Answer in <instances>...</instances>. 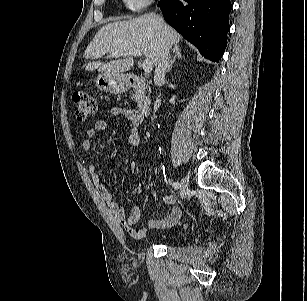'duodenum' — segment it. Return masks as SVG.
I'll return each instance as SVG.
<instances>
[{
	"mask_svg": "<svg viewBox=\"0 0 307 301\" xmlns=\"http://www.w3.org/2000/svg\"><path fill=\"white\" fill-rule=\"evenodd\" d=\"M129 85L137 93V109L143 117H147L151 112V102L146 97V83L143 77L133 75L130 77Z\"/></svg>",
	"mask_w": 307,
	"mask_h": 301,
	"instance_id": "410a0bca",
	"label": "duodenum"
}]
</instances>
